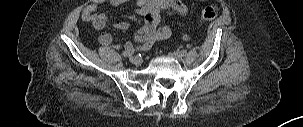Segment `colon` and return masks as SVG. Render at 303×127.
<instances>
[{
  "instance_id": "obj_1",
  "label": "colon",
  "mask_w": 303,
  "mask_h": 127,
  "mask_svg": "<svg viewBox=\"0 0 303 127\" xmlns=\"http://www.w3.org/2000/svg\"><path fill=\"white\" fill-rule=\"evenodd\" d=\"M216 16H217V10L212 6H208L202 9L200 14V19L202 22H210L214 20Z\"/></svg>"
}]
</instances>
